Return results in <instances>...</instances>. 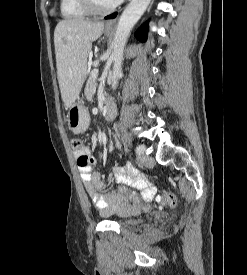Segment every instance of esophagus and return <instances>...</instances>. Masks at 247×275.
I'll use <instances>...</instances> for the list:
<instances>
[{
  "mask_svg": "<svg viewBox=\"0 0 247 275\" xmlns=\"http://www.w3.org/2000/svg\"><path fill=\"white\" fill-rule=\"evenodd\" d=\"M115 25V20H110L107 22L106 27H113Z\"/></svg>",
  "mask_w": 247,
  "mask_h": 275,
  "instance_id": "esophagus-1",
  "label": "esophagus"
}]
</instances>
